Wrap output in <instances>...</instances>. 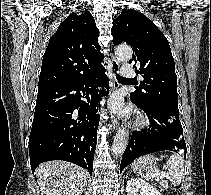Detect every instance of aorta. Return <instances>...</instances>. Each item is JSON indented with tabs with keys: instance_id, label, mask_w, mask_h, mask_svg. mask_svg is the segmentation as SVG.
<instances>
[{
	"instance_id": "762f6f07",
	"label": "aorta",
	"mask_w": 211,
	"mask_h": 195,
	"mask_svg": "<svg viewBox=\"0 0 211 195\" xmlns=\"http://www.w3.org/2000/svg\"><path fill=\"white\" fill-rule=\"evenodd\" d=\"M116 59L120 62H127L132 57V50L128 45H120L115 52ZM129 141V134L124 129H119L114 137L112 144V152L115 156H120L124 153Z\"/></svg>"
}]
</instances>
